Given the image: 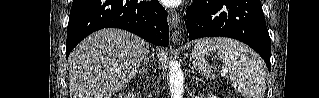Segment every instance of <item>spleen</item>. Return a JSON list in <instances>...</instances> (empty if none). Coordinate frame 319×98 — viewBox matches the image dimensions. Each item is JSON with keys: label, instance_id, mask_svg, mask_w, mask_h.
I'll return each mask as SVG.
<instances>
[{"label": "spleen", "instance_id": "1", "mask_svg": "<svg viewBox=\"0 0 319 98\" xmlns=\"http://www.w3.org/2000/svg\"><path fill=\"white\" fill-rule=\"evenodd\" d=\"M216 52L229 73L232 86L245 98H264L266 72L261 58L246 45L230 38L198 40L192 50L193 64L203 76L214 78L205 55Z\"/></svg>", "mask_w": 319, "mask_h": 98}]
</instances>
